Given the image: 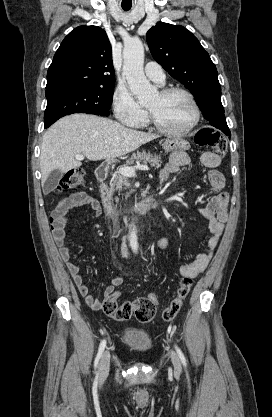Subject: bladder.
<instances>
[{"instance_id": "bladder-1", "label": "bladder", "mask_w": 272, "mask_h": 417, "mask_svg": "<svg viewBox=\"0 0 272 417\" xmlns=\"http://www.w3.org/2000/svg\"><path fill=\"white\" fill-rule=\"evenodd\" d=\"M123 341L127 347L138 352H146L152 348V339L150 335L141 329H124Z\"/></svg>"}]
</instances>
